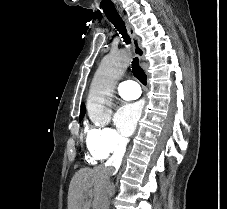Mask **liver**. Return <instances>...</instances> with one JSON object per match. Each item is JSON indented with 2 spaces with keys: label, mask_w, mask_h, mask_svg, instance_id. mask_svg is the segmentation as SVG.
I'll use <instances>...</instances> for the list:
<instances>
[{
  "label": "liver",
  "mask_w": 227,
  "mask_h": 209,
  "mask_svg": "<svg viewBox=\"0 0 227 209\" xmlns=\"http://www.w3.org/2000/svg\"><path fill=\"white\" fill-rule=\"evenodd\" d=\"M99 175L100 169H80L75 173L69 185L68 209H89V203H84V191L93 187Z\"/></svg>",
  "instance_id": "liver-1"
}]
</instances>
